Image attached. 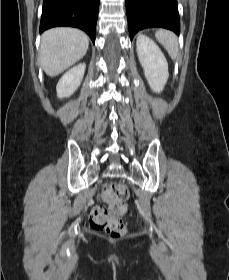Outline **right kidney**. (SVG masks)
Segmentation results:
<instances>
[{"label":"right kidney","mask_w":229,"mask_h":280,"mask_svg":"<svg viewBox=\"0 0 229 280\" xmlns=\"http://www.w3.org/2000/svg\"><path fill=\"white\" fill-rule=\"evenodd\" d=\"M86 69L81 63L67 71L59 80L56 91L59 98L70 97L80 86Z\"/></svg>","instance_id":"right-kidney-1"}]
</instances>
